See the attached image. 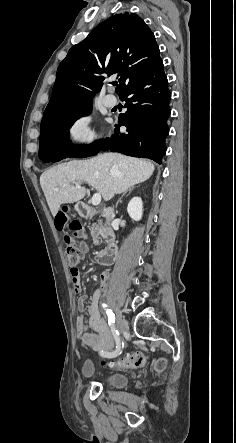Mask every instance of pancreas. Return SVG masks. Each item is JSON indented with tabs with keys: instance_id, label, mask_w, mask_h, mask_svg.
<instances>
[{
	"instance_id": "1",
	"label": "pancreas",
	"mask_w": 236,
	"mask_h": 443,
	"mask_svg": "<svg viewBox=\"0 0 236 443\" xmlns=\"http://www.w3.org/2000/svg\"><path fill=\"white\" fill-rule=\"evenodd\" d=\"M89 229L94 245H99V239L104 236V227L93 223Z\"/></svg>"
}]
</instances>
